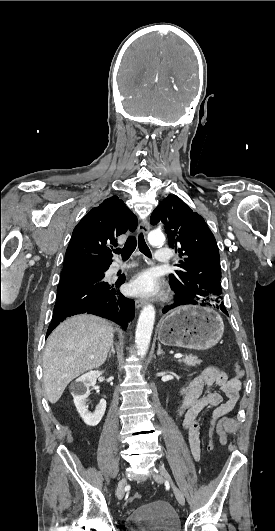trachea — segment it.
Masks as SVG:
<instances>
[{
  "label": "trachea",
  "instance_id": "1",
  "mask_svg": "<svg viewBox=\"0 0 275 531\" xmlns=\"http://www.w3.org/2000/svg\"><path fill=\"white\" fill-rule=\"evenodd\" d=\"M137 243H138V247H139V250L141 251V253H143V254H145V256H148L149 258H151L150 249L148 248L142 233H140L138 235V241H137L135 236H129V238L127 239V241H126V243L124 245V248H122V249L117 248V249L114 250V252L118 253V254H121L123 260H127V259H129L131 254L135 251Z\"/></svg>",
  "mask_w": 275,
  "mask_h": 531
}]
</instances>
